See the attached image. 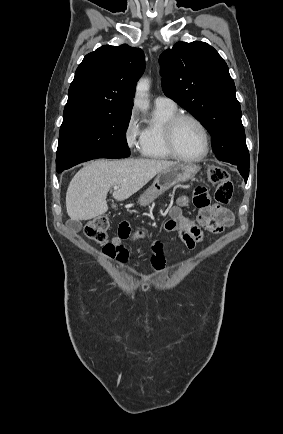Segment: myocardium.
<instances>
[{
    "instance_id": "1",
    "label": "myocardium",
    "mask_w": 283,
    "mask_h": 434,
    "mask_svg": "<svg viewBox=\"0 0 283 434\" xmlns=\"http://www.w3.org/2000/svg\"><path fill=\"white\" fill-rule=\"evenodd\" d=\"M182 120H190L193 123H195L198 128L200 129L202 136H203V142H204V147H203V151L197 155V156H193V157H189V156H185L182 155L176 147L175 144V130L177 125L179 124V122H181ZM164 140H165V144L166 147L168 149V151L170 152V154L181 161H186V162H198L202 159H204L210 150V137H209V133L208 130L206 128V126L203 124V122L197 118L196 116L189 114V113H176L173 117H171L165 127H164Z\"/></svg>"
}]
</instances>
